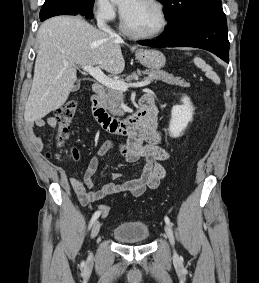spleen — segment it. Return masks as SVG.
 I'll return each instance as SVG.
<instances>
[{"mask_svg": "<svg viewBox=\"0 0 259 283\" xmlns=\"http://www.w3.org/2000/svg\"><path fill=\"white\" fill-rule=\"evenodd\" d=\"M194 63L198 68L202 69V71L205 72L207 77L213 79L214 81L215 80L219 81V78L216 75V73L212 70V68L209 65L206 64V62L203 59L196 57L194 59Z\"/></svg>", "mask_w": 259, "mask_h": 283, "instance_id": "3e777b00", "label": "spleen"}]
</instances>
